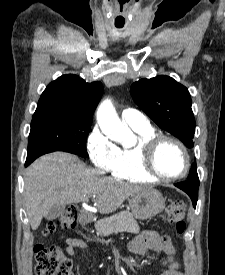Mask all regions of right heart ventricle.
Segmentation results:
<instances>
[{
  "instance_id": "right-heart-ventricle-1",
  "label": "right heart ventricle",
  "mask_w": 225,
  "mask_h": 275,
  "mask_svg": "<svg viewBox=\"0 0 225 275\" xmlns=\"http://www.w3.org/2000/svg\"><path fill=\"white\" fill-rule=\"evenodd\" d=\"M132 129L137 133L139 142L133 147L119 149L118 157L110 169L111 175L133 183L153 182L155 180L141 168L139 144L142 140L157 135V132L150 125L147 127H132Z\"/></svg>"
}]
</instances>
